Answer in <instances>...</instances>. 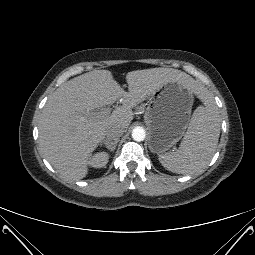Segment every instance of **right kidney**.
<instances>
[{
  "instance_id": "right-kidney-1",
  "label": "right kidney",
  "mask_w": 255,
  "mask_h": 255,
  "mask_svg": "<svg viewBox=\"0 0 255 255\" xmlns=\"http://www.w3.org/2000/svg\"><path fill=\"white\" fill-rule=\"evenodd\" d=\"M108 160V155L104 152H100L90 157L88 164L94 168H102L108 163Z\"/></svg>"
}]
</instances>
